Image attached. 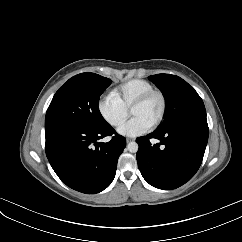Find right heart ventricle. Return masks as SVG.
Instances as JSON below:
<instances>
[{
    "instance_id": "1",
    "label": "right heart ventricle",
    "mask_w": 242,
    "mask_h": 242,
    "mask_svg": "<svg viewBox=\"0 0 242 242\" xmlns=\"http://www.w3.org/2000/svg\"><path fill=\"white\" fill-rule=\"evenodd\" d=\"M152 89L154 87L148 81L133 79L115 88L112 95L124 108L129 110L136 99Z\"/></svg>"
}]
</instances>
